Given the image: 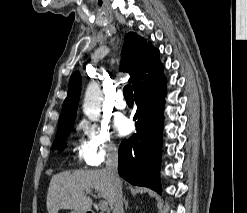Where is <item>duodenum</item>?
Segmentation results:
<instances>
[{"mask_svg":"<svg viewBox=\"0 0 247 213\" xmlns=\"http://www.w3.org/2000/svg\"><path fill=\"white\" fill-rule=\"evenodd\" d=\"M87 213H96V212H94V211H88Z\"/></svg>","mask_w":247,"mask_h":213,"instance_id":"duodenum-1","label":"duodenum"}]
</instances>
